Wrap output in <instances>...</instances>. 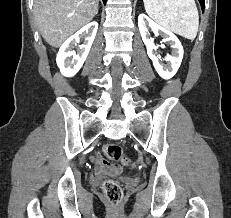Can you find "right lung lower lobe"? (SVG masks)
<instances>
[{"instance_id":"right-lung-lower-lobe-1","label":"right lung lower lobe","mask_w":231,"mask_h":218,"mask_svg":"<svg viewBox=\"0 0 231 218\" xmlns=\"http://www.w3.org/2000/svg\"><path fill=\"white\" fill-rule=\"evenodd\" d=\"M104 4L106 3V0H103Z\"/></svg>"}]
</instances>
